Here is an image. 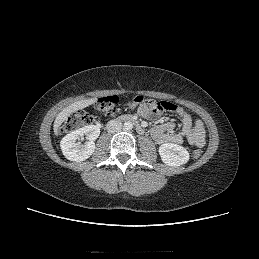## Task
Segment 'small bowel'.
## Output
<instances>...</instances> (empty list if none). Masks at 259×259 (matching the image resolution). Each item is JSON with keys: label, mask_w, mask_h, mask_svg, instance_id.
I'll return each instance as SVG.
<instances>
[{"label": "small bowel", "mask_w": 259, "mask_h": 259, "mask_svg": "<svg viewBox=\"0 0 259 259\" xmlns=\"http://www.w3.org/2000/svg\"><path fill=\"white\" fill-rule=\"evenodd\" d=\"M182 123V130L180 132L175 131L174 122H165L155 126L151 130L153 139L158 144L175 143L182 144L188 142L194 147H203L205 145V127L200 120H193L191 115L181 106H176L173 110ZM139 113L147 117L141 110Z\"/></svg>", "instance_id": "obj_1"}]
</instances>
